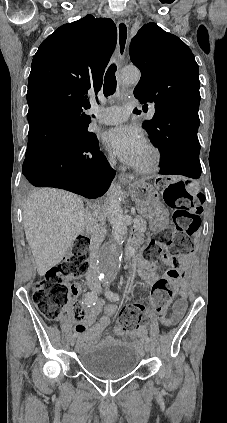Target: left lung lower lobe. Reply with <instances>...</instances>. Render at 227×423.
I'll return each instance as SVG.
<instances>
[{
	"label": "left lung lower lobe",
	"instance_id": "1",
	"mask_svg": "<svg viewBox=\"0 0 227 423\" xmlns=\"http://www.w3.org/2000/svg\"><path fill=\"white\" fill-rule=\"evenodd\" d=\"M199 123H183L178 128L166 134H159L152 140L162 154L160 174H179L193 179L200 177L202 169L197 137Z\"/></svg>",
	"mask_w": 227,
	"mask_h": 423
}]
</instances>
